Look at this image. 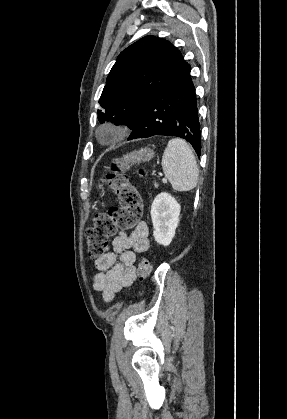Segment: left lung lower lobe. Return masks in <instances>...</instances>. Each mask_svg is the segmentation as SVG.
<instances>
[{
    "mask_svg": "<svg viewBox=\"0 0 287 419\" xmlns=\"http://www.w3.org/2000/svg\"><path fill=\"white\" fill-rule=\"evenodd\" d=\"M190 70L189 66L146 102L128 140L154 135L176 136L188 141L200 156L201 131Z\"/></svg>",
    "mask_w": 287,
    "mask_h": 419,
    "instance_id": "left-lung-lower-lobe-1",
    "label": "left lung lower lobe"
}]
</instances>
